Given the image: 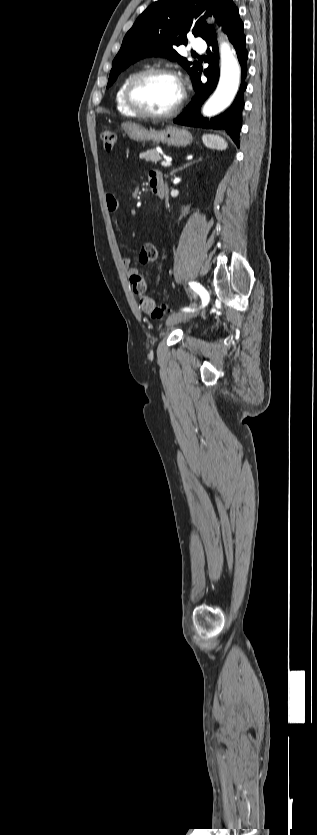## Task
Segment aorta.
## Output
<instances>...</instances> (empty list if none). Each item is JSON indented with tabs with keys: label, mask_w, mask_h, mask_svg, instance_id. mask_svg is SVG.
<instances>
[{
	"label": "aorta",
	"mask_w": 317,
	"mask_h": 835,
	"mask_svg": "<svg viewBox=\"0 0 317 835\" xmlns=\"http://www.w3.org/2000/svg\"><path fill=\"white\" fill-rule=\"evenodd\" d=\"M220 78L213 95L203 106L205 117L223 112L234 100L240 84V66L229 43L220 44Z\"/></svg>",
	"instance_id": "762f6f07"
}]
</instances>
